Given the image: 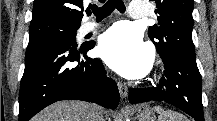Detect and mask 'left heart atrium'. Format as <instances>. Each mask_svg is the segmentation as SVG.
Here are the masks:
<instances>
[{
  "label": "left heart atrium",
  "instance_id": "left-heart-atrium-1",
  "mask_svg": "<svg viewBox=\"0 0 217 121\" xmlns=\"http://www.w3.org/2000/svg\"><path fill=\"white\" fill-rule=\"evenodd\" d=\"M101 58L116 72L128 77L144 76L151 67L152 53L141 34L129 24H117L99 41Z\"/></svg>",
  "mask_w": 217,
  "mask_h": 121
}]
</instances>
